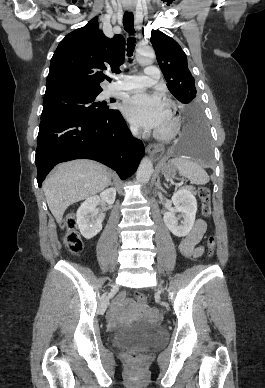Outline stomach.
Returning a JSON list of instances; mask_svg holds the SVG:
<instances>
[{"mask_svg": "<svg viewBox=\"0 0 265 388\" xmlns=\"http://www.w3.org/2000/svg\"><path fill=\"white\" fill-rule=\"evenodd\" d=\"M159 169L168 178L174 177L175 175V166L170 162H161L159 165Z\"/></svg>", "mask_w": 265, "mask_h": 388, "instance_id": "stomach-1", "label": "stomach"}]
</instances>
